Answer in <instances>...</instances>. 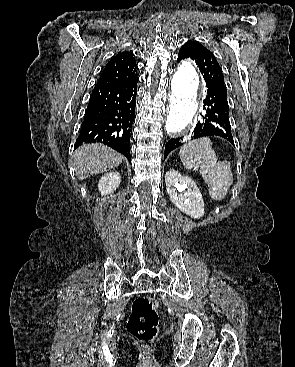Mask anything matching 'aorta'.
<instances>
[{"label":"aorta","mask_w":295,"mask_h":367,"mask_svg":"<svg viewBox=\"0 0 295 367\" xmlns=\"http://www.w3.org/2000/svg\"><path fill=\"white\" fill-rule=\"evenodd\" d=\"M199 75L190 61L179 65L171 81V104L166 120V130L181 134L192 123L198 108Z\"/></svg>","instance_id":"obj_1"}]
</instances>
